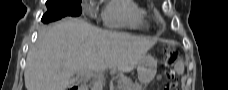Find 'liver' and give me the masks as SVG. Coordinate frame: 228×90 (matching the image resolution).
Returning a JSON list of instances; mask_svg holds the SVG:
<instances>
[{
    "label": "liver",
    "instance_id": "liver-1",
    "mask_svg": "<svg viewBox=\"0 0 228 90\" xmlns=\"http://www.w3.org/2000/svg\"><path fill=\"white\" fill-rule=\"evenodd\" d=\"M155 43V39L65 18L39 32L27 54L25 86L27 90H66L78 71L131 72Z\"/></svg>",
    "mask_w": 228,
    "mask_h": 90
}]
</instances>
